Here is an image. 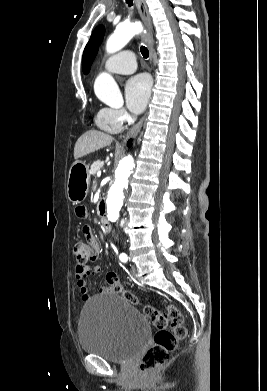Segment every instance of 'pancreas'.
I'll use <instances>...</instances> for the list:
<instances>
[{"label":"pancreas","instance_id":"pancreas-1","mask_svg":"<svg viewBox=\"0 0 267 391\" xmlns=\"http://www.w3.org/2000/svg\"><path fill=\"white\" fill-rule=\"evenodd\" d=\"M102 166H103V161L98 160V161L94 162V163L92 164V166H91V169H90L89 173H90L91 175H95L96 172H97Z\"/></svg>","mask_w":267,"mask_h":391}]
</instances>
